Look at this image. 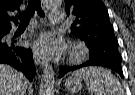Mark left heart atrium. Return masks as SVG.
<instances>
[{"label": "left heart atrium", "instance_id": "obj_1", "mask_svg": "<svg viewBox=\"0 0 135 95\" xmlns=\"http://www.w3.org/2000/svg\"><path fill=\"white\" fill-rule=\"evenodd\" d=\"M33 49L42 55H59L64 52V41L51 33L40 35L33 43Z\"/></svg>", "mask_w": 135, "mask_h": 95}]
</instances>
